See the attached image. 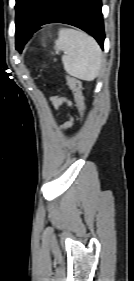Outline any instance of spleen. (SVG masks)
Wrapping results in <instances>:
<instances>
[{"label": "spleen", "instance_id": "spleen-1", "mask_svg": "<svg viewBox=\"0 0 134 281\" xmlns=\"http://www.w3.org/2000/svg\"><path fill=\"white\" fill-rule=\"evenodd\" d=\"M54 47L64 52L63 66L71 76L85 81H92L98 76L102 52L98 43L88 34L62 28Z\"/></svg>", "mask_w": 134, "mask_h": 281}]
</instances>
